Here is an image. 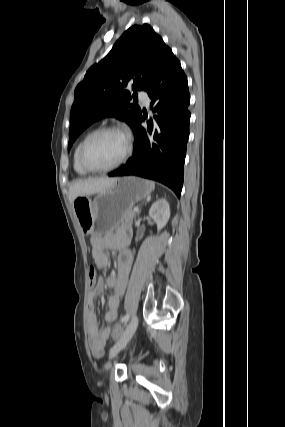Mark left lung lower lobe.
I'll return each mask as SVG.
<instances>
[{
    "label": "left lung lower lobe",
    "instance_id": "obj_1",
    "mask_svg": "<svg viewBox=\"0 0 285 427\" xmlns=\"http://www.w3.org/2000/svg\"><path fill=\"white\" fill-rule=\"evenodd\" d=\"M146 91L151 98L154 119H150L144 129L141 114L133 129L134 155L108 175H137L156 180L180 197L189 136L190 95L187 77L172 51Z\"/></svg>",
    "mask_w": 285,
    "mask_h": 427
}]
</instances>
